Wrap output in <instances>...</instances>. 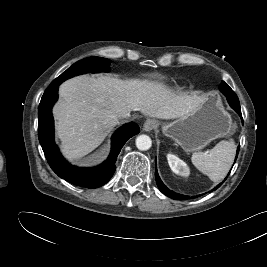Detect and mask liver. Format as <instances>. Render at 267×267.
Instances as JSON below:
<instances>
[{
    "instance_id": "obj_1",
    "label": "liver",
    "mask_w": 267,
    "mask_h": 267,
    "mask_svg": "<svg viewBox=\"0 0 267 267\" xmlns=\"http://www.w3.org/2000/svg\"><path fill=\"white\" fill-rule=\"evenodd\" d=\"M53 108L63 154L78 159L97 148L124 113L140 111L158 119H175L194 111L204 100L177 93L147 80H120L81 75L63 82Z\"/></svg>"
}]
</instances>
